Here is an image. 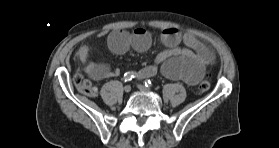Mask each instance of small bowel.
<instances>
[{
    "label": "small bowel",
    "instance_id": "small-bowel-1",
    "mask_svg": "<svg viewBox=\"0 0 279 148\" xmlns=\"http://www.w3.org/2000/svg\"><path fill=\"white\" fill-rule=\"evenodd\" d=\"M161 40L167 49L159 53L152 64L143 67L137 73L138 78L153 77L161 71L167 78L194 85L203 77L206 68L216 61L213 50L192 33H183L177 28L168 27L162 31ZM151 43L150 33L143 28L133 32L115 30L108 35V46L116 54H123L130 48L145 52ZM90 52L91 47L85 45L77 53L82 69L89 77L103 80L119 74L117 68L89 62Z\"/></svg>",
    "mask_w": 279,
    "mask_h": 148
}]
</instances>
